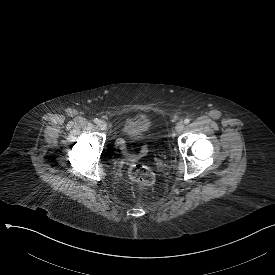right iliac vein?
I'll return each instance as SVG.
<instances>
[{"instance_id":"63e3f726","label":"right iliac vein","mask_w":275,"mask_h":275,"mask_svg":"<svg viewBox=\"0 0 275 275\" xmlns=\"http://www.w3.org/2000/svg\"><path fill=\"white\" fill-rule=\"evenodd\" d=\"M99 127H100L101 130H105V129L107 128L106 122L101 121V122L99 123Z\"/></svg>"}]
</instances>
